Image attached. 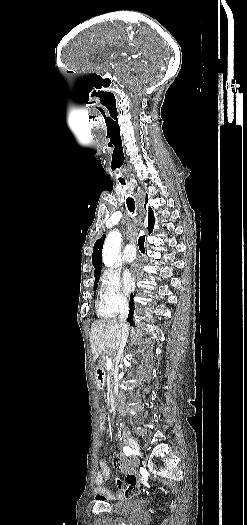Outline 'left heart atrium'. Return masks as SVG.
<instances>
[{
    "label": "left heart atrium",
    "mask_w": 247,
    "mask_h": 525,
    "mask_svg": "<svg viewBox=\"0 0 247 525\" xmlns=\"http://www.w3.org/2000/svg\"><path fill=\"white\" fill-rule=\"evenodd\" d=\"M134 258V257H133ZM134 261H144L142 258H135ZM132 264V263H131ZM144 276V272H132L131 265L124 274L125 285L130 289L135 282L140 281Z\"/></svg>",
    "instance_id": "obj_1"
}]
</instances>
